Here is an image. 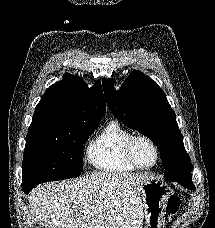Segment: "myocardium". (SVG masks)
Returning a JSON list of instances; mask_svg holds the SVG:
<instances>
[{"label": "myocardium", "mask_w": 215, "mask_h": 228, "mask_svg": "<svg viewBox=\"0 0 215 228\" xmlns=\"http://www.w3.org/2000/svg\"><path fill=\"white\" fill-rule=\"evenodd\" d=\"M139 141H146L155 153V162L149 167L140 166L134 156V149ZM125 157L127 162L136 170L149 171L154 169L160 161V150L157 143L149 136L144 134H134L129 138L125 145Z\"/></svg>", "instance_id": "f54148a6"}]
</instances>
